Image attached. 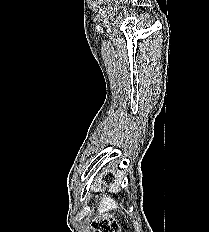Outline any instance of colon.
I'll use <instances>...</instances> for the list:
<instances>
[{"mask_svg": "<svg viewBox=\"0 0 209 232\" xmlns=\"http://www.w3.org/2000/svg\"><path fill=\"white\" fill-rule=\"evenodd\" d=\"M97 232H120L116 222L111 216H103L93 223Z\"/></svg>", "mask_w": 209, "mask_h": 232, "instance_id": "5ec220e1", "label": "colon"}]
</instances>
